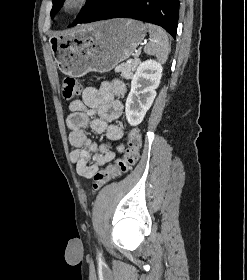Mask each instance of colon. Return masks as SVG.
<instances>
[{"label":"colon","instance_id":"5ec220e1","mask_svg":"<svg viewBox=\"0 0 247 280\" xmlns=\"http://www.w3.org/2000/svg\"><path fill=\"white\" fill-rule=\"evenodd\" d=\"M61 90L63 97L69 100L79 95L81 86L74 77H66L62 82ZM141 147V134L138 129L134 128L128 134V148L124 156L94 174L93 189H101L112 179L131 169L139 159Z\"/></svg>","mask_w":247,"mask_h":280}]
</instances>
